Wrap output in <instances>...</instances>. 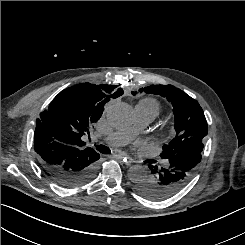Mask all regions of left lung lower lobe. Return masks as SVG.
<instances>
[{
  "instance_id": "left-lung-lower-lobe-1",
  "label": "left lung lower lobe",
  "mask_w": 245,
  "mask_h": 245,
  "mask_svg": "<svg viewBox=\"0 0 245 245\" xmlns=\"http://www.w3.org/2000/svg\"><path fill=\"white\" fill-rule=\"evenodd\" d=\"M201 158V152L184 151L166 159L165 167L150 165L152 175L138 181L136 188L151 200L170 198L187 185Z\"/></svg>"
}]
</instances>
